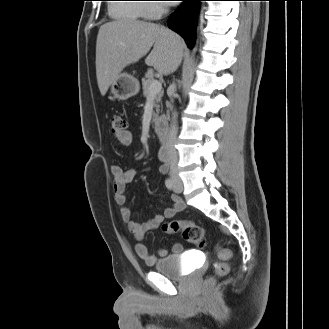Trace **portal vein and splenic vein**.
I'll return each instance as SVG.
<instances>
[{"label": "portal vein and splenic vein", "instance_id": "obj_1", "mask_svg": "<svg viewBox=\"0 0 329 329\" xmlns=\"http://www.w3.org/2000/svg\"><path fill=\"white\" fill-rule=\"evenodd\" d=\"M161 89H162V84L160 81H158V80L152 81L150 88H149L150 95L151 96L156 95L157 93H159L161 91Z\"/></svg>", "mask_w": 329, "mask_h": 329}]
</instances>
